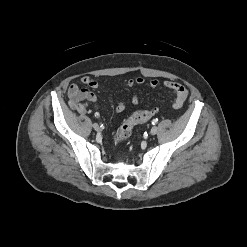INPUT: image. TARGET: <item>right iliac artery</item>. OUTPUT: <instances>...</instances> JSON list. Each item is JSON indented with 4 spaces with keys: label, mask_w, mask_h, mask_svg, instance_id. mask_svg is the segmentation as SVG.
<instances>
[{
    "label": "right iliac artery",
    "mask_w": 247,
    "mask_h": 247,
    "mask_svg": "<svg viewBox=\"0 0 247 247\" xmlns=\"http://www.w3.org/2000/svg\"><path fill=\"white\" fill-rule=\"evenodd\" d=\"M95 116H96V117H99L100 115H99V113H95Z\"/></svg>",
    "instance_id": "1"
}]
</instances>
